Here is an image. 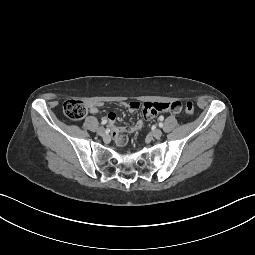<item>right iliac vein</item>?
Segmentation results:
<instances>
[{"instance_id": "63e3f726", "label": "right iliac vein", "mask_w": 255, "mask_h": 255, "mask_svg": "<svg viewBox=\"0 0 255 255\" xmlns=\"http://www.w3.org/2000/svg\"><path fill=\"white\" fill-rule=\"evenodd\" d=\"M97 134L100 136H103L105 134V128L104 127H99L97 130Z\"/></svg>"}]
</instances>
